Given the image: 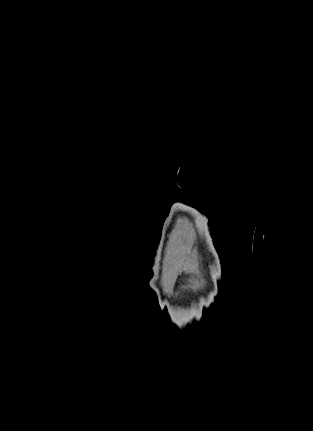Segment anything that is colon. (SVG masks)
Instances as JSON below:
<instances>
[{"label":"colon","instance_id":"obj_1","mask_svg":"<svg viewBox=\"0 0 313 431\" xmlns=\"http://www.w3.org/2000/svg\"><path fill=\"white\" fill-rule=\"evenodd\" d=\"M231 116H236L235 114H231Z\"/></svg>","mask_w":313,"mask_h":431}]
</instances>
